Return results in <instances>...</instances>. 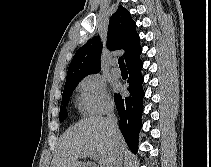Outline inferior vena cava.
Masks as SVG:
<instances>
[{"instance_id":"602c4592","label":"inferior vena cava","mask_w":211,"mask_h":167,"mask_svg":"<svg viewBox=\"0 0 211 167\" xmlns=\"http://www.w3.org/2000/svg\"><path fill=\"white\" fill-rule=\"evenodd\" d=\"M107 123L109 126V130L113 133L116 134V132L119 130L118 129V124H117V117L114 114V107L110 106L107 111ZM111 167H122V152L117 151L115 159L111 165Z\"/></svg>"}]
</instances>
